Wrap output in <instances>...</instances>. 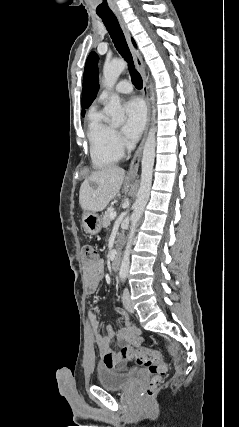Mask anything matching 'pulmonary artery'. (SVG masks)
Listing matches in <instances>:
<instances>
[{"instance_id": "1", "label": "pulmonary artery", "mask_w": 239, "mask_h": 427, "mask_svg": "<svg viewBox=\"0 0 239 427\" xmlns=\"http://www.w3.org/2000/svg\"><path fill=\"white\" fill-rule=\"evenodd\" d=\"M114 90L118 94H129L132 92V85L127 80H122L117 83ZM109 97L110 92L108 90H104L99 96V101L103 103L107 101Z\"/></svg>"}]
</instances>
